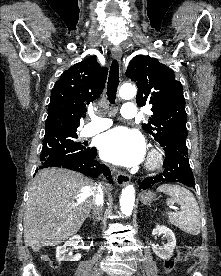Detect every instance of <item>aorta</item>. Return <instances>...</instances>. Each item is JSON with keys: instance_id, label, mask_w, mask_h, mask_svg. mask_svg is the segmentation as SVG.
Instances as JSON below:
<instances>
[{"instance_id": "762f6f07", "label": "aorta", "mask_w": 221, "mask_h": 276, "mask_svg": "<svg viewBox=\"0 0 221 276\" xmlns=\"http://www.w3.org/2000/svg\"><path fill=\"white\" fill-rule=\"evenodd\" d=\"M136 87L130 83L123 84L119 90V96L122 99H131L136 95ZM135 202V188L133 185H127L122 190V195L120 199V209L121 212L130 216L134 207Z\"/></svg>"}]
</instances>
